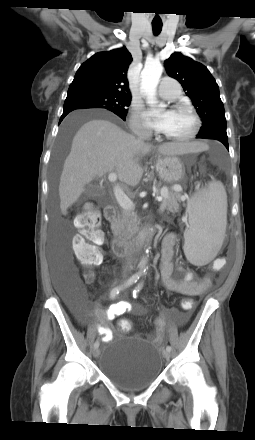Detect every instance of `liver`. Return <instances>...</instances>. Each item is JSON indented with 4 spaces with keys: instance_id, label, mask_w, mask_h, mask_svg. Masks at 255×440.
Wrapping results in <instances>:
<instances>
[{
    "instance_id": "liver-1",
    "label": "liver",
    "mask_w": 255,
    "mask_h": 440,
    "mask_svg": "<svg viewBox=\"0 0 255 440\" xmlns=\"http://www.w3.org/2000/svg\"><path fill=\"white\" fill-rule=\"evenodd\" d=\"M153 147L103 119H91L75 134L59 183L60 209L63 215L95 177L115 171L119 180L136 186L143 175L139 158ZM207 149L201 142H171L157 147L159 155L174 156Z\"/></svg>"
}]
</instances>
